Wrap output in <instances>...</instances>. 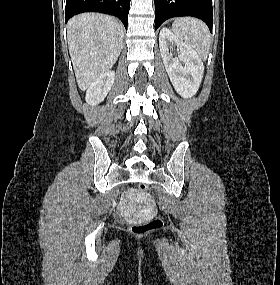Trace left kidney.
I'll list each match as a JSON object with an SVG mask.
<instances>
[{
    "mask_svg": "<svg viewBox=\"0 0 280 285\" xmlns=\"http://www.w3.org/2000/svg\"><path fill=\"white\" fill-rule=\"evenodd\" d=\"M159 47L165 69L177 93L184 98L194 96L204 73L201 58L166 27L160 31ZM175 51L176 57H174Z\"/></svg>",
    "mask_w": 280,
    "mask_h": 285,
    "instance_id": "5707ae66",
    "label": "left kidney"
}]
</instances>
